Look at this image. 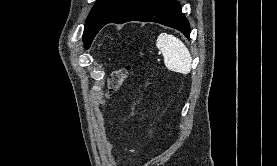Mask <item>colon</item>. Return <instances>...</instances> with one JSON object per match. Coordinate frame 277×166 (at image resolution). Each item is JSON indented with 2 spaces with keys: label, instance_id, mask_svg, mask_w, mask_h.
<instances>
[{
  "label": "colon",
  "instance_id": "1",
  "mask_svg": "<svg viewBox=\"0 0 277 166\" xmlns=\"http://www.w3.org/2000/svg\"><path fill=\"white\" fill-rule=\"evenodd\" d=\"M130 67L124 66L110 73L107 79V96L117 92L128 77Z\"/></svg>",
  "mask_w": 277,
  "mask_h": 166
}]
</instances>
